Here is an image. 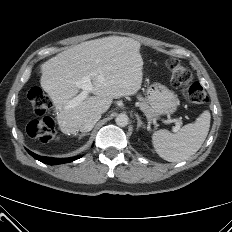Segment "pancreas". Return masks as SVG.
Here are the masks:
<instances>
[{
    "label": "pancreas",
    "mask_w": 232,
    "mask_h": 232,
    "mask_svg": "<svg viewBox=\"0 0 232 232\" xmlns=\"http://www.w3.org/2000/svg\"><path fill=\"white\" fill-rule=\"evenodd\" d=\"M139 100L140 102L138 103V106L148 118H153L154 116H156V113L152 110V108L149 106L144 98L139 97Z\"/></svg>",
    "instance_id": "obj_1"
}]
</instances>
